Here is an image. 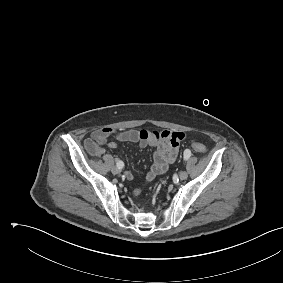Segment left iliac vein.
<instances>
[{
	"label": "left iliac vein",
	"mask_w": 283,
	"mask_h": 283,
	"mask_svg": "<svg viewBox=\"0 0 283 283\" xmlns=\"http://www.w3.org/2000/svg\"><path fill=\"white\" fill-rule=\"evenodd\" d=\"M187 177H188V174H187L186 171L180 172L179 178H180L181 180H185V179H187Z\"/></svg>",
	"instance_id": "4c4485c4"
}]
</instances>
